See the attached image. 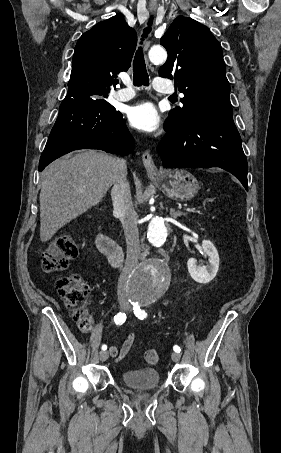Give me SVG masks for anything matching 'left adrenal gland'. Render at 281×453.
Listing matches in <instances>:
<instances>
[{
  "mask_svg": "<svg viewBox=\"0 0 281 453\" xmlns=\"http://www.w3.org/2000/svg\"><path fill=\"white\" fill-rule=\"evenodd\" d=\"M170 214L173 216V218H177V216H181L182 212L180 210H174V208H170Z\"/></svg>",
  "mask_w": 281,
  "mask_h": 453,
  "instance_id": "left-adrenal-gland-1",
  "label": "left adrenal gland"
}]
</instances>
